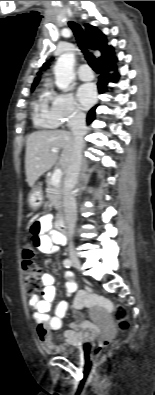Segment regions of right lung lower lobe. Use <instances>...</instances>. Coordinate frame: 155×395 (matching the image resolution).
<instances>
[{
  "mask_svg": "<svg viewBox=\"0 0 155 395\" xmlns=\"http://www.w3.org/2000/svg\"><path fill=\"white\" fill-rule=\"evenodd\" d=\"M116 61H117L116 58H114L110 61L99 64L101 71V76L99 77V82H98L99 93H104L106 91L108 82L110 81L116 82L118 80L119 77L118 73L107 74L108 71L116 70L115 67ZM95 110H96V106L89 111L87 115L88 124H90L95 119Z\"/></svg>",
  "mask_w": 155,
  "mask_h": 395,
  "instance_id": "obj_1",
  "label": "right lung lower lobe"
}]
</instances>
